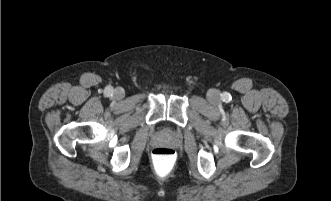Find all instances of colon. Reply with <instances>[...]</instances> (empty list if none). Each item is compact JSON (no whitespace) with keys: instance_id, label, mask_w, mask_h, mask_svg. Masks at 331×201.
I'll use <instances>...</instances> for the list:
<instances>
[{"instance_id":"5ec220e1","label":"colon","mask_w":331,"mask_h":201,"mask_svg":"<svg viewBox=\"0 0 331 201\" xmlns=\"http://www.w3.org/2000/svg\"><path fill=\"white\" fill-rule=\"evenodd\" d=\"M177 152L166 146H159L153 149L151 154L152 166L159 177L169 176L177 165Z\"/></svg>"}]
</instances>
